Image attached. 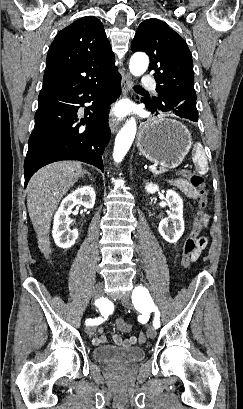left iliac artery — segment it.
<instances>
[{"label":"left iliac artery","instance_id":"obj_1","mask_svg":"<svg viewBox=\"0 0 243 409\" xmlns=\"http://www.w3.org/2000/svg\"><path fill=\"white\" fill-rule=\"evenodd\" d=\"M147 294V290L143 287H137L134 290L133 293V302L135 303V306H139L142 305L141 302H143V304L145 303V306H147L148 308H150L151 311H153L155 313V318L153 321V326L155 329L160 327V312L158 310V307L153 303V301L151 299H146L144 302L143 296L145 297Z\"/></svg>","mask_w":243,"mask_h":409}]
</instances>
